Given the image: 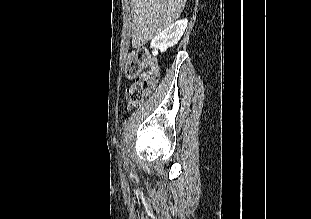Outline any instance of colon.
<instances>
[{"label": "colon", "instance_id": "5ec220e1", "mask_svg": "<svg viewBox=\"0 0 311 219\" xmlns=\"http://www.w3.org/2000/svg\"><path fill=\"white\" fill-rule=\"evenodd\" d=\"M124 76L134 79L126 88L128 107H137L150 95L159 79L158 65L146 47H139L129 54L124 66Z\"/></svg>", "mask_w": 311, "mask_h": 219}]
</instances>
